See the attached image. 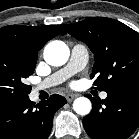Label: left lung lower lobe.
<instances>
[{"label": "left lung lower lobe", "instance_id": "0a47b994", "mask_svg": "<svg viewBox=\"0 0 139 139\" xmlns=\"http://www.w3.org/2000/svg\"><path fill=\"white\" fill-rule=\"evenodd\" d=\"M88 97L93 107L83 118V125L92 139H127L138 127V80L107 93L104 100Z\"/></svg>", "mask_w": 139, "mask_h": 139}]
</instances>
